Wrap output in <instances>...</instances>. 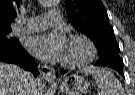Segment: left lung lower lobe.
Masks as SVG:
<instances>
[{
  "label": "left lung lower lobe",
  "instance_id": "obj_1",
  "mask_svg": "<svg viewBox=\"0 0 135 95\" xmlns=\"http://www.w3.org/2000/svg\"><path fill=\"white\" fill-rule=\"evenodd\" d=\"M95 65L112 67L124 77L123 69H122L123 62H122L121 58H118V57H112L111 59H109V58H100L99 61H97V63ZM66 72H67V70H65V71L63 70V71H61V74H64Z\"/></svg>",
  "mask_w": 135,
  "mask_h": 95
}]
</instances>
